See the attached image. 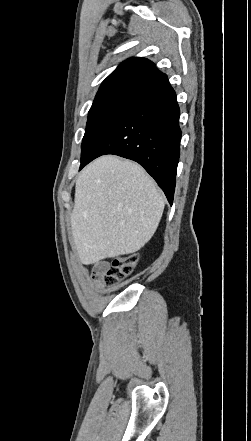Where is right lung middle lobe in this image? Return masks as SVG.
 <instances>
[{"label":"right lung middle lobe","instance_id":"right-lung-middle-lobe-1","mask_svg":"<svg viewBox=\"0 0 251 441\" xmlns=\"http://www.w3.org/2000/svg\"><path fill=\"white\" fill-rule=\"evenodd\" d=\"M136 102L131 99H108L94 102L88 113L85 134L82 140L81 163L106 131Z\"/></svg>","mask_w":251,"mask_h":441}]
</instances>
